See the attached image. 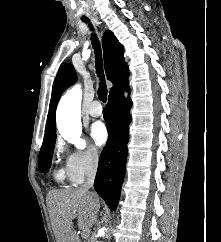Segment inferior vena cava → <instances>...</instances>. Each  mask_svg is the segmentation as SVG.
Masks as SVG:
<instances>
[{
  "instance_id": "inferior-vena-cava-1",
  "label": "inferior vena cava",
  "mask_w": 221,
  "mask_h": 242,
  "mask_svg": "<svg viewBox=\"0 0 221 242\" xmlns=\"http://www.w3.org/2000/svg\"><path fill=\"white\" fill-rule=\"evenodd\" d=\"M96 171H97V161L94 160L87 168L86 181L81 187V189L83 191H86V192L90 193L91 195H95L93 192H89V189L93 188Z\"/></svg>"
}]
</instances>
